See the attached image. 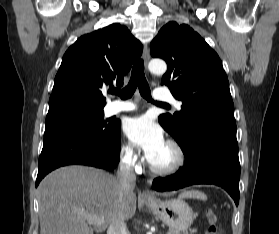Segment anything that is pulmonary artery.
Masks as SVG:
<instances>
[{"label": "pulmonary artery", "instance_id": "1", "mask_svg": "<svg viewBox=\"0 0 279 234\" xmlns=\"http://www.w3.org/2000/svg\"><path fill=\"white\" fill-rule=\"evenodd\" d=\"M154 98L157 101H171L177 108H180L181 106V103L179 101H176L170 93H167L161 89L156 90ZM135 109L136 105L132 102L113 101L107 105L106 113L111 116L120 113L131 112Z\"/></svg>", "mask_w": 279, "mask_h": 234}]
</instances>
